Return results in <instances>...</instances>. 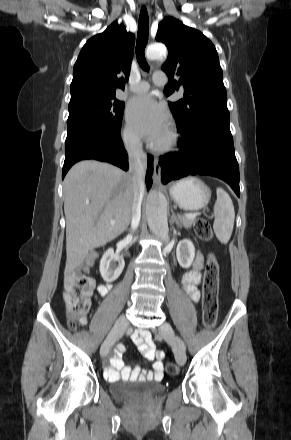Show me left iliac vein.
<instances>
[{
    "label": "left iliac vein",
    "instance_id": "4c4485c4",
    "mask_svg": "<svg viewBox=\"0 0 291 440\" xmlns=\"http://www.w3.org/2000/svg\"><path fill=\"white\" fill-rule=\"evenodd\" d=\"M158 332L172 346L177 363L183 366L186 362V353L180 344L177 343L175 333L171 325L167 322H164L158 328Z\"/></svg>",
    "mask_w": 291,
    "mask_h": 440
}]
</instances>
